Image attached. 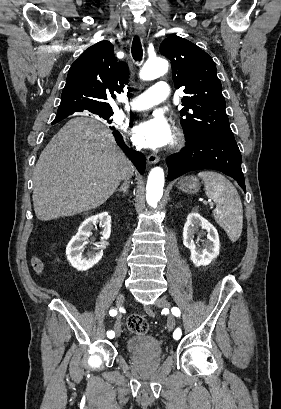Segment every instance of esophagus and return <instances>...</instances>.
<instances>
[{"instance_id": "obj_1", "label": "esophagus", "mask_w": 281, "mask_h": 409, "mask_svg": "<svg viewBox=\"0 0 281 409\" xmlns=\"http://www.w3.org/2000/svg\"><path fill=\"white\" fill-rule=\"evenodd\" d=\"M135 33H136V35H138V36H144V34H145V32H143V31H135ZM147 162H148L149 164H152V165L157 164V163L159 162V157H158V155L150 154V155L147 157Z\"/></svg>"}]
</instances>
